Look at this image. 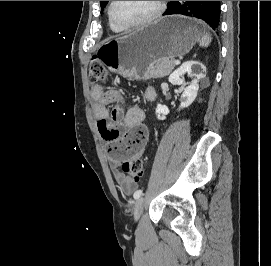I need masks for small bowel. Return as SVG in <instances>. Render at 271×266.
Instances as JSON below:
<instances>
[{"label": "small bowel", "mask_w": 271, "mask_h": 266, "mask_svg": "<svg viewBox=\"0 0 271 266\" xmlns=\"http://www.w3.org/2000/svg\"><path fill=\"white\" fill-rule=\"evenodd\" d=\"M145 96L152 101L155 92L148 89ZM91 97L98 131L108 144L114 179L123 192L130 194L136 188L137 182L125 176L120 170V164L129 159L140 158L144 154L148 140V131L143 125L144 109L141 105L126 107L123 96L115 89L104 90L100 86H93ZM110 104L114 105L111 113L107 108Z\"/></svg>", "instance_id": "1"}]
</instances>
